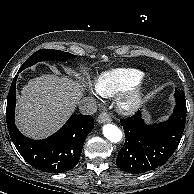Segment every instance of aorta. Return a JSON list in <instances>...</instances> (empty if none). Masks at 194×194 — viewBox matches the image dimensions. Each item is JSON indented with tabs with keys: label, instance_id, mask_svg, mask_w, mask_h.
Listing matches in <instances>:
<instances>
[{
	"label": "aorta",
	"instance_id": "aorta-1",
	"mask_svg": "<svg viewBox=\"0 0 194 194\" xmlns=\"http://www.w3.org/2000/svg\"><path fill=\"white\" fill-rule=\"evenodd\" d=\"M102 130L103 135L113 143H118L123 138L122 131L114 124H105Z\"/></svg>",
	"mask_w": 194,
	"mask_h": 194
}]
</instances>
